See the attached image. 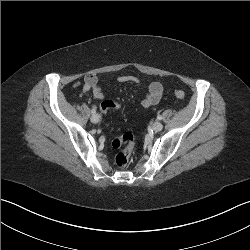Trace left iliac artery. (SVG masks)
<instances>
[{"label":"left iliac artery","instance_id":"obj_1","mask_svg":"<svg viewBox=\"0 0 250 250\" xmlns=\"http://www.w3.org/2000/svg\"><path fill=\"white\" fill-rule=\"evenodd\" d=\"M157 119H158V120H161V119H162V116H161V115H158V116H157Z\"/></svg>","mask_w":250,"mask_h":250}]
</instances>
